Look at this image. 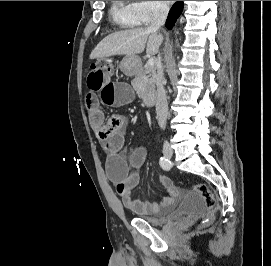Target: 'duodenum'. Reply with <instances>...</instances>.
Wrapping results in <instances>:
<instances>
[{"label": "duodenum", "instance_id": "410a0bca", "mask_svg": "<svg viewBox=\"0 0 271 266\" xmlns=\"http://www.w3.org/2000/svg\"><path fill=\"white\" fill-rule=\"evenodd\" d=\"M137 62L134 60L130 64H136ZM144 103L147 105H153L156 100V93L154 91L147 92L143 96Z\"/></svg>", "mask_w": 271, "mask_h": 266}]
</instances>
